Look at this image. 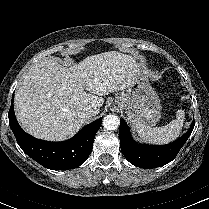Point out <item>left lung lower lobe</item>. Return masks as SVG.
<instances>
[{
    "label": "left lung lower lobe",
    "mask_w": 209,
    "mask_h": 209,
    "mask_svg": "<svg viewBox=\"0 0 209 209\" xmlns=\"http://www.w3.org/2000/svg\"><path fill=\"white\" fill-rule=\"evenodd\" d=\"M194 120L190 129L177 141L167 145H144L136 143L130 136L129 127L120 120V147L125 158L140 168H156L172 161L185 144L194 128Z\"/></svg>",
    "instance_id": "0a47b994"
}]
</instances>
